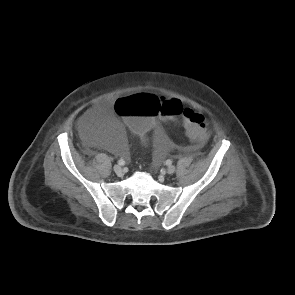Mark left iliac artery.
Returning <instances> with one entry per match:
<instances>
[{"mask_svg": "<svg viewBox=\"0 0 295 295\" xmlns=\"http://www.w3.org/2000/svg\"><path fill=\"white\" fill-rule=\"evenodd\" d=\"M166 164H167V165H171V164H172V160L168 159V160L166 161Z\"/></svg>", "mask_w": 295, "mask_h": 295, "instance_id": "obj_1", "label": "left iliac artery"}]
</instances>
